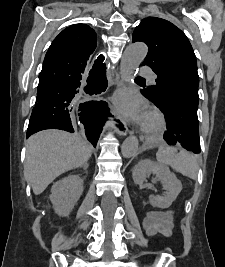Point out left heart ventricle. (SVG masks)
I'll use <instances>...</instances> for the list:
<instances>
[{"mask_svg": "<svg viewBox=\"0 0 225 267\" xmlns=\"http://www.w3.org/2000/svg\"><path fill=\"white\" fill-rule=\"evenodd\" d=\"M144 123H151V120L146 118L145 122Z\"/></svg>", "mask_w": 225, "mask_h": 267, "instance_id": "1", "label": "left heart ventricle"}]
</instances>
